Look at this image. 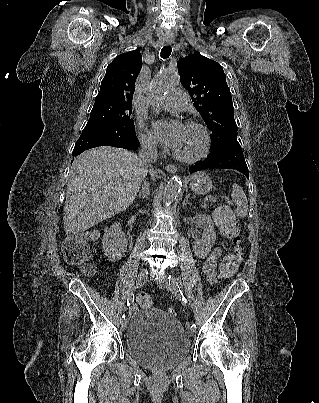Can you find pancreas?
Segmentation results:
<instances>
[{"label":"pancreas","instance_id":"1","mask_svg":"<svg viewBox=\"0 0 319 403\" xmlns=\"http://www.w3.org/2000/svg\"><path fill=\"white\" fill-rule=\"evenodd\" d=\"M204 208H207V206H206V205H204Z\"/></svg>","mask_w":319,"mask_h":403}]
</instances>
